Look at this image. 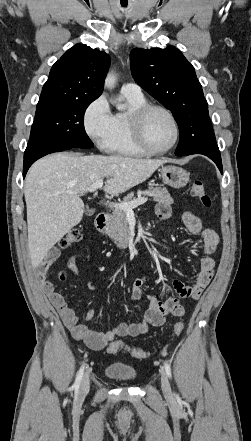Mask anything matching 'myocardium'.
Returning a JSON list of instances; mask_svg holds the SVG:
<instances>
[{
  "mask_svg": "<svg viewBox=\"0 0 251 441\" xmlns=\"http://www.w3.org/2000/svg\"><path fill=\"white\" fill-rule=\"evenodd\" d=\"M155 110L164 112L170 118L172 125H173V128H174L173 141L168 147H166L164 149H155V148L151 147L149 145V143L147 142V139L145 136V130H144L145 120H146L147 116L152 111H155ZM130 124H131L132 135H133L135 142L147 154L161 155V154L168 153L177 145V143L179 141L180 128H179L178 121H177L175 115L173 114V112L165 106L158 105V104H146V105L136 109L131 115Z\"/></svg>",
  "mask_w": 251,
  "mask_h": 441,
  "instance_id": "myocardium-1",
  "label": "myocardium"
}]
</instances>
